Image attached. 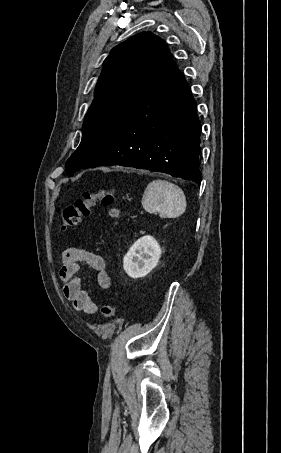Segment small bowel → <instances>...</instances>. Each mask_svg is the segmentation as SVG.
Wrapping results in <instances>:
<instances>
[{"instance_id": "obj_1", "label": "small bowel", "mask_w": 281, "mask_h": 453, "mask_svg": "<svg viewBox=\"0 0 281 453\" xmlns=\"http://www.w3.org/2000/svg\"><path fill=\"white\" fill-rule=\"evenodd\" d=\"M81 264H87L96 271L95 284L100 289L110 287V278L105 271L104 258L94 252L71 248L62 252L60 276L63 280V294L73 304V307L87 314H95L97 305L81 290L76 276Z\"/></svg>"}]
</instances>
